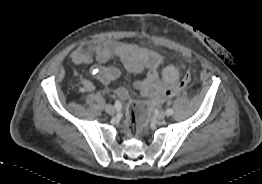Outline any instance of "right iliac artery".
I'll use <instances>...</instances> for the list:
<instances>
[{
	"label": "right iliac artery",
	"mask_w": 262,
	"mask_h": 184,
	"mask_svg": "<svg viewBox=\"0 0 262 184\" xmlns=\"http://www.w3.org/2000/svg\"><path fill=\"white\" fill-rule=\"evenodd\" d=\"M115 108H116V110H120L121 109V103H120V101H116L115 102Z\"/></svg>",
	"instance_id": "82829eb1"
}]
</instances>
